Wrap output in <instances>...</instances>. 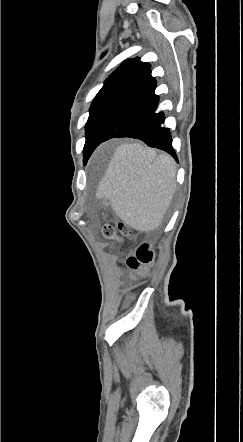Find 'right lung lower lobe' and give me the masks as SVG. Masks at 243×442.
<instances>
[{
  "label": "right lung lower lobe",
  "mask_w": 243,
  "mask_h": 442,
  "mask_svg": "<svg viewBox=\"0 0 243 442\" xmlns=\"http://www.w3.org/2000/svg\"><path fill=\"white\" fill-rule=\"evenodd\" d=\"M155 88L156 80L125 96L107 113L84 151V162L102 142L122 137L140 139L150 147L166 151L177 160L170 131L162 126L164 113L156 112L159 97L155 94Z\"/></svg>",
  "instance_id": "right-lung-lower-lobe-1"
}]
</instances>
